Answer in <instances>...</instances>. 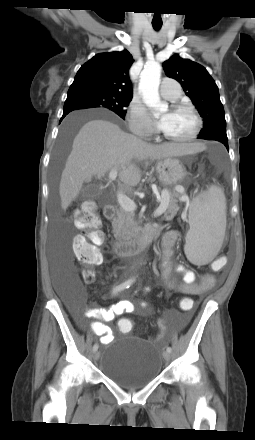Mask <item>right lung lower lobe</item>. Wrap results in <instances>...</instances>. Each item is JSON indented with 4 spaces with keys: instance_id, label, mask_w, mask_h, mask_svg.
I'll list each match as a JSON object with an SVG mask.
<instances>
[{
    "instance_id": "98d812e1",
    "label": "right lung lower lobe",
    "mask_w": 255,
    "mask_h": 440,
    "mask_svg": "<svg viewBox=\"0 0 255 440\" xmlns=\"http://www.w3.org/2000/svg\"><path fill=\"white\" fill-rule=\"evenodd\" d=\"M69 112H71V110H66V111H64L61 120H62V119H63V118L69 113Z\"/></svg>"
}]
</instances>
